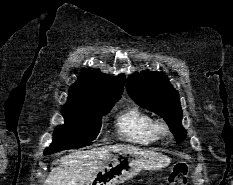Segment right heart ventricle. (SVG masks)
Returning a JSON list of instances; mask_svg holds the SVG:
<instances>
[{
  "label": "right heart ventricle",
  "mask_w": 233,
  "mask_h": 185,
  "mask_svg": "<svg viewBox=\"0 0 233 185\" xmlns=\"http://www.w3.org/2000/svg\"><path fill=\"white\" fill-rule=\"evenodd\" d=\"M157 121L138 106H131L117 117L118 132L126 141L148 145L158 140Z\"/></svg>",
  "instance_id": "obj_1"
}]
</instances>
